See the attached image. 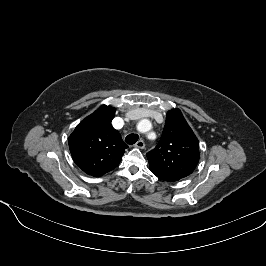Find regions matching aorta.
<instances>
[{
	"instance_id": "762f6f07",
	"label": "aorta",
	"mask_w": 266,
	"mask_h": 266,
	"mask_svg": "<svg viewBox=\"0 0 266 266\" xmlns=\"http://www.w3.org/2000/svg\"><path fill=\"white\" fill-rule=\"evenodd\" d=\"M141 127L143 131H146L150 127V122L148 120H142Z\"/></svg>"
}]
</instances>
